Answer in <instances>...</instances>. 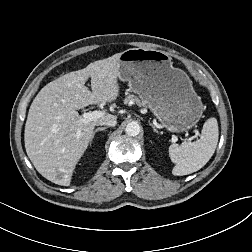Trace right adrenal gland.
<instances>
[{
  "label": "right adrenal gland",
  "mask_w": 252,
  "mask_h": 252,
  "mask_svg": "<svg viewBox=\"0 0 252 252\" xmlns=\"http://www.w3.org/2000/svg\"><path fill=\"white\" fill-rule=\"evenodd\" d=\"M107 129V127H99L97 128L94 132H93V135H92V139L94 138L95 134L98 132V131H105Z\"/></svg>",
  "instance_id": "obj_1"
}]
</instances>
